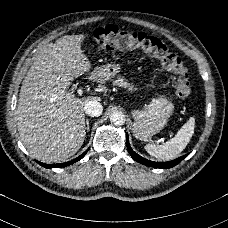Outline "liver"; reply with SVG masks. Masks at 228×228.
<instances>
[{
	"label": "liver",
	"mask_w": 228,
	"mask_h": 228,
	"mask_svg": "<svg viewBox=\"0 0 228 228\" xmlns=\"http://www.w3.org/2000/svg\"><path fill=\"white\" fill-rule=\"evenodd\" d=\"M87 34L61 37L45 45L23 80L17 104V127L25 148L37 159L61 162L73 156L86 135L84 104L97 97H77L69 89L93 65L83 51Z\"/></svg>",
	"instance_id": "liver-1"
}]
</instances>
